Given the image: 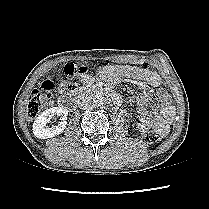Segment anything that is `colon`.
<instances>
[{
	"instance_id": "5ec220e1",
	"label": "colon",
	"mask_w": 209,
	"mask_h": 209,
	"mask_svg": "<svg viewBox=\"0 0 209 209\" xmlns=\"http://www.w3.org/2000/svg\"><path fill=\"white\" fill-rule=\"evenodd\" d=\"M85 70L84 67H79L78 64L69 63L65 66V79H62L58 84L60 92L73 91L77 87L76 78L80 76L81 72ZM53 84L49 80H41L39 87L32 91L26 115L29 120L34 119L39 112L47 106L53 97ZM166 135V130L156 129L154 139L158 140Z\"/></svg>"
}]
</instances>
